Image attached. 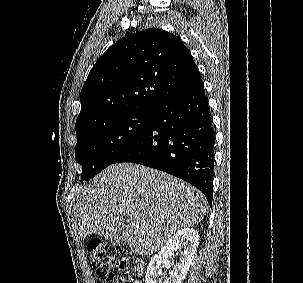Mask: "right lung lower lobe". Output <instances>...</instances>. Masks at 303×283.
<instances>
[{
	"label": "right lung lower lobe",
	"instance_id": "obj_1",
	"mask_svg": "<svg viewBox=\"0 0 303 283\" xmlns=\"http://www.w3.org/2000/svg\"><path fill=\"white\" fill-rule=\"evenodd\" d=\"M214 132L202 80L153 111L138 140L113 163L132 162L181 178L213 199Z\"/></svg>",
	"mask_w": 303,
	"mask_h": 283
}]
</instances>
